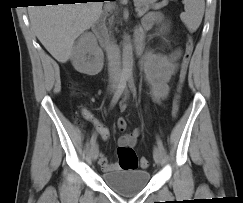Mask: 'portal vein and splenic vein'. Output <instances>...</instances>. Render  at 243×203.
I'll return each instance as SVG.
<instances>
[{
  "mask_svg": "<svg viewBox=\"0 0 243 203\" xmlns=\"http://www.w3.org/2000/svg\"><path fill=\"white\" fill-rule=\"evenodd\" d=\"M138 12V16L141 17L143 13L140 10H136Z\"/></svg>",
  "mask_w": 243,
  "mask_h": 203,
  "instance_id": "portal-vein-and-splenic-vein-1",
  "label": "portal vein and splenic vein"
}]
</instances>
